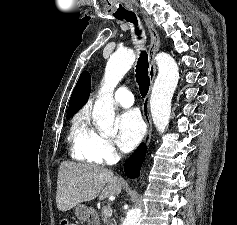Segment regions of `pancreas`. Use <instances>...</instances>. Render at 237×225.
I'll return each mask as SVG.
<instances>
[{"label": "pancreas", "instance_id": "obj_1", "mask_svg": "<svg viewBox=\"0 0 237 225\" xmlns=\"http://www.w3.org/2000/svg\"><path fill=\"white\" fill-rule=\"evenodd\" d=\"M101 220L105 225H114L112 219L105 217L103 214Z\"/></svg>", "mask_w": 237, "mask_h": 225}]
</instances>
